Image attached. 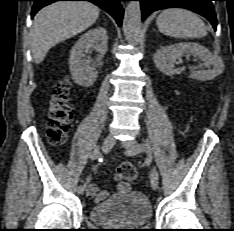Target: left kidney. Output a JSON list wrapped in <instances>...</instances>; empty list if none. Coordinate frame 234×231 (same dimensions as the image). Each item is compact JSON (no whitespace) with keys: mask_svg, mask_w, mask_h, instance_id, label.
<instances>
[{"mask_svg":"<svg viewBox=\"0 0 234 231\" xmlns=\"http://www.w3.org/2000/svg\"><path fill=\"white\" fill-rule=\"evenodd\" d=\"M183 54H191L198 57L207 66L213 67L212 69L208 70L192 72L190 77L193 79L201 81L212 80L224 70V64L220 57L213 55L207 48L194 42H182L175 45L162 47L154 54L153 60L157 68L162 73L171 76L175 73V62Z\"/></svg>","mask_w":234,"mask_h":231,"instance_id":"left-kidney-1","label":"left kidney"}]
</instances>
